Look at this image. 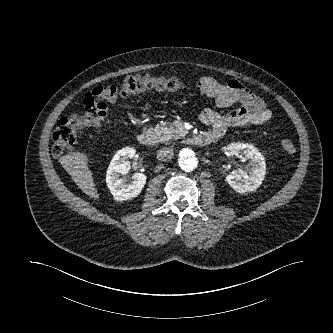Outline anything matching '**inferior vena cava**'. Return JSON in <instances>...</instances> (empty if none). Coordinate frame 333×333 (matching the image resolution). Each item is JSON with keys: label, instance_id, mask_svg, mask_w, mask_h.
Masks as SVG:
<instances>
[{"label": "inferior vena cava", "instance_id": "602c4592", "mask_svg": "<svg viewBox=\"0 0 333 333\" xmlns=\"http://www.w3.org/2000/svg\"><path fill=\"white\" fill-rule=\"evenodd\" d=\"M174 156V151L171 148L163 147L157 153V159L160 161H167L172 159Z\"/></svg>", "mask_w": 333, "mask_h": 333}]
</instances>
